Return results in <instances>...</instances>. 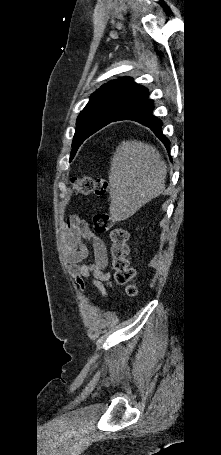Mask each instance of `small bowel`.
<instances>
[{
  "instance_id": "c3829d8e",
  "label": "small bowel",
  "mask_w": 221,
  "mask_h": 455,
  "mask_svg": "<svg viewBox=\"0 0 221 455\" xmlns=\"http://www.w3.org/2000/svg\"><path fill=\"white\" fill-rule=\"evenodd\" d=\"M63 248L68 262L77 268L76 281L83 289L82 278H90L102 297L108 295V288L112 287L110 276L104 271L107 265V252L103 241L94 234L87 223L73 216L64 223ZM89 242L93 260L84 262L88 255L87 248L82 240Z\"/></svg>"
}]
</instances>
